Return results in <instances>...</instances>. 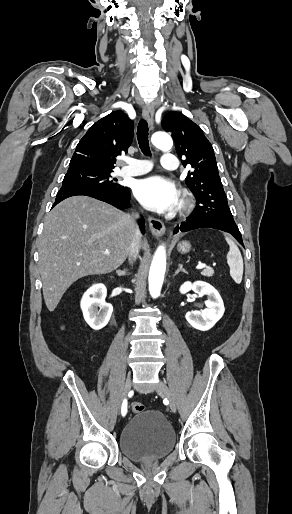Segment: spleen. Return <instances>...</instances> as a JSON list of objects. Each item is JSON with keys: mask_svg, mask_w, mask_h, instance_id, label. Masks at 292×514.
<instances>
[{"mask_svg": "<svg viewBox=\"0 0 292 514\" xmlns=\"http://www.w3.org/2000/svg\"><path fill=\"white\" fill-rule=\"evenodd\" d=\"M228 246L229 252L227 254V264L230 268V276L233 278L236 284H241L243 278V258L240 254L239 248H237L236 244H234L233 240L230 238H225Z\"/></svg>", "mask_w": 292, "mask_h": 514, "instance_id": "spleen-1", "label": "spleen"}]
</instances>
